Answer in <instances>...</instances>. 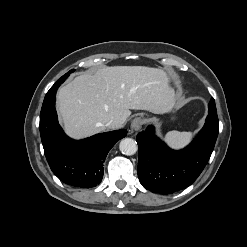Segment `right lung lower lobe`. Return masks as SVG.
<instances>
[{
	"label": "right lung lower lobe",
	"instance_id": "obj_1",
	"mask_svg": "<svg viewBox=\"0 0 247 247\" xmlns=\"http://www.w3.org/2000/svg\"><path fill=\"white\" fill-rule=\"evenodd\" d=\"M56 91L43 102L40 114L39 127L46 159L53 173L64 183L81 188L96 186L102 180L103 163L109 150L126 136L127 130L101 133L80 141L72 140L58 124Z\"/></svg>",
	"mask_w": 247,
	"mask_h": 247
}]
</instances>
